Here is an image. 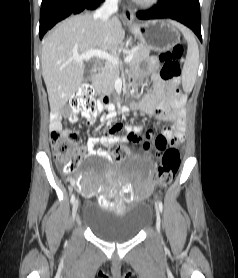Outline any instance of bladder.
Instances as JSON below:
<instances>
[{
  "mask_svg": "<svg viewBox=\"0 0 238 278\" xmlns=\"http://www.w3.org/2000/svg\"><path fill=\"white\" fill-rule=\"evenodd\" d=\"M152 209L148 204L134 202L118 214L99 204H84L81 222L96 238L121 243L136 238L151 222Z\"/></svg>",
  "mask_w": 238,
  "mask_h": 278,
  "instance_id": "31cf9c89",
  "label": "bladder"
}]
</instances>
